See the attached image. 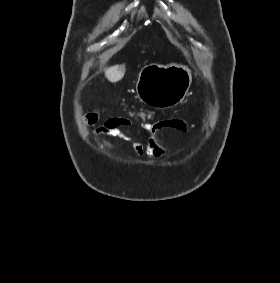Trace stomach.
Segmentation results:
<instances>
[{
  "label": "stomach",
  "instance_id": "stomach-1",
  "mask_svg": "<svg viewBox=\"0 0 280 283\" xmlns=\"http://www.w3.org/2000/svg\"><path fill=\"white\" fill-rule=\"evenodd\" d=\"M192 82L186 65L149 64L143 67L136 83L139 99L156 108H170L182 102Z\"/></svg>",
  "mask_w": 280,
  "mask_h": 283
}]
</instances>
